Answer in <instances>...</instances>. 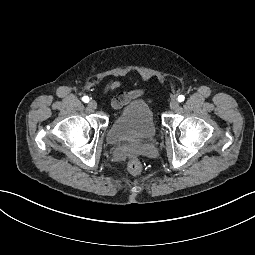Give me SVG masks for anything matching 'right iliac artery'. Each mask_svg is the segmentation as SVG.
<instances>
[{"label": "right iliac artery", "instance_id": "right-iliac-artery-1", "mask_svg": "<svg viewBox=\"0 0 255 255\" xmlns=\"http://www.w3.org/2000/svg\"><path fill=\"white\" fill-rule=\"evenodd\" d=\"M82 100H83V102H88L89 101V97L88 96H84L83 98H82Z\"/></svg>", "mask_w": 255, "mask_h": 255}]
</instances>
